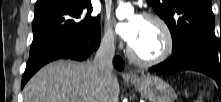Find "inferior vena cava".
<instances>
[{"instance_id":"inferior-vena-cava-1","label":"inferior vena cava","mask_w":221,"mask_h":102,"mask_svg":"<svg viewBox=\"0 0 221 102\" xmlns=\"http://www.w3.org/2000/svg\"><path fill=\"white\" fill-rule=\"evenodd\" d=\"M115 53L114 35L113 33L106 34L100 44V47L95 55L93 64L103 70L113 69V58Z\"/></svg>"}]
</instances>
